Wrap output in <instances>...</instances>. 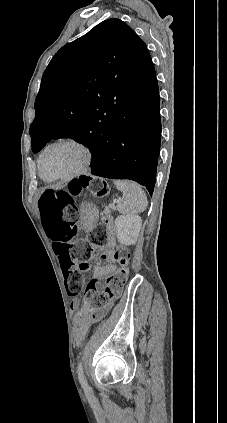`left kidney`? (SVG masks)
Instances as JSON below:
<instances>
[{"mask_svg":"<svg viewBox=\"0 0 227 423\" xmlns=\"http://www.w3.org/2000/svg\"><path fill=\"white\" fill-rule=\"evenodd\" d=\"M117 239L122 245H133L136 243L142 225L140 215H118L115 219Z\"/></svg>","mask_w":227,"mask_h":423,"instance_id":"1","label":"left kidney"}]
</instances>
